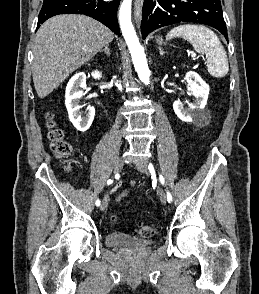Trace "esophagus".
<instances>
[{"label":"esophagus","mask_w":259,"mask_h":294,"mask_svg":"<svg viewBox=\"0 0 259 294\" xmlns=\"http://www.w3.org/2000/svg\"><path fill=\"white\" fill-rule=\"evenodd\" d=\"M144 0H135L134 2V16L136 22H139L142 14V6Z\"/></svg>","instance_id":"obj_1"}]
</instances>
